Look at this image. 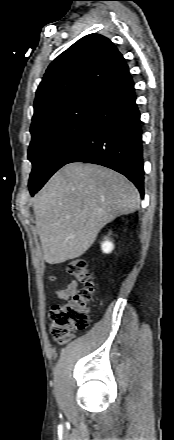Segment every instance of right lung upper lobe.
Segmentation results:
<instances>
[{
    "mask_svg": "<svg viewBox=\"0 0 174 440\" xmlns=\"http://www.w3.org/2000/svg\"><path fill=\"white\" fill-rule=\"evenodd\" d=\"M127 73L125 59L108 38L84 36L46 70L36 91L32 124L82 96L96 94Z\"/></svg>",
    "mask_w": 174,
    "mask_h": 440,
    "instance_id": "obj_1",
    "label": "right lung upper lobe"
}]
</instances>
